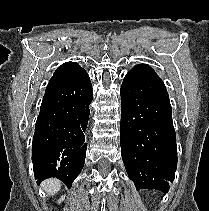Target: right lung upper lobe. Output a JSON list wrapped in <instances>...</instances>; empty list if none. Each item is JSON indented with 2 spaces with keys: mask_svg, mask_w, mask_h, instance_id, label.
Listing matches in <instances>:
<instances>
[{
  "mask_svg": "<svg viewBox=\"0 0 209 211\" xmlns=\"http://www.w3.org/2000/svg\"><path fill=\"white\" fill-rule=\"evenodd\" d=\"M78 63L76 62H66L62 64L53 74L52 78L50 79L46 90L54 87L55 85L67 80L71 76H73L75 73H77L79 70H81Z\"/></svg>",
  "mask_w": 209,
  "mask_h": 211,
  "instance_id": "right-lung-upper-lobe-1",
  "label": "right lung upper lobe"
}]
</instances>
